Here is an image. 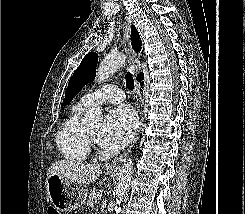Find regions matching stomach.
Here are the masks:
<instances>
[{
    "label": "stomach",
    "instance_id": "0dacf381",
    "mask_svg": "<svg viewBox=\"0 0 245 214\" xmlns=\"http://www.w3.org/2000/svg\"><path fill=\"white\" fill-rule=\"evenodd\" d=\"M46 189L51 204L58 211H71L82 207L88 196L85 185L52 174L46 179Z\"/></svg>",
    "mask_w": 245,
    "mask_h": 214
}]
</instances>
